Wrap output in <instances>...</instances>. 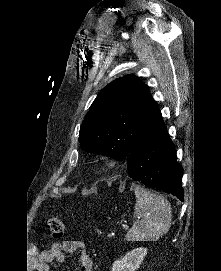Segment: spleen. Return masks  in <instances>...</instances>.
Masks as SVG:
<instances>
[{"label":"spleen","mask_w":221,"mask_h":271,"mask_svg":"<svg viewBox=\"0 0 221 271\" xmlns=\"http://www.w3.org/2000/svg\"><path fill=\"white\" fill-rule=\"evenodd\" d=\"M134 223L127 241H157L169 231L172 221L171 205L163 195L150 193L143 187H135Z\"/></svg>","instance_id":"spleen-1"}]
</instances>
